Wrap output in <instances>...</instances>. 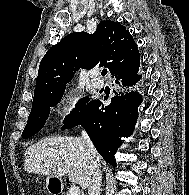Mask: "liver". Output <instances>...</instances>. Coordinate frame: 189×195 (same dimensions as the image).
I'll return each instance as SVG.
<instances>
[{
    "label": "liver",
    "mask_w": 189,
    "mask_h": 195,
    "mask_svg": "<svg viewBox=\"0 0 189 195\" xmlns=\"http://www.w3.org/2000/svg\"><path fill=\"white\" fill-rule=\"evenodd\" d=\"M24 171L61 178L68 174L82 189L90 177L87 146L80 137H46L25 151ZM100 160V156H99Z\"/></svg>",
    "instance_id": "obj_1"
}]
</instances>
